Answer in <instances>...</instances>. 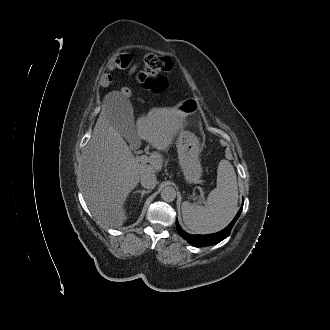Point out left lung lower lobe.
<instances>
[{
	"instance_id": "left-lung-lower-lobe-1",
	"label": "left lung lower lobe",
	"mask_w": 330,
	"mask_h": 330,
	"mask_svg": "<svg viewBox=\"0 0 330 330\" xmlns=\"http://www.w3.org/2000/svg\"><path fill=\"white\" fill-rule=\"evenodd\" d=\"M242 209H243V204L240 210L238 211V213L236 214L235 218L232 220V222L224 230L218 233L208 234V235H190L184 232L181 229L180 225L178 224V221H176L177 231L184 239H186L191 245L195 247H204V246L217 244L229 236L231 229L234 226L238 217L240 216Z\"/></svg>"
}]
</instances>
